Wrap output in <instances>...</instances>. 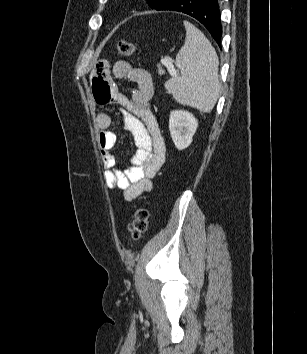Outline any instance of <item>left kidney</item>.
I'll return each mask as SVG.
<instances>
[{"instance_id": "5707ae66", "label": "left kidney", "mask_w": 307, "mask_h": 354, "mask_svg": "<svg viewBox=\"0 0 307 354\" xmlns=\"http://www.w3.org/2000/svg\"><path fill=\"white\" fill-rule=\"evenodd\" d=\"M198 121L192 113L185 110H174L170 113L169 130L178 150L187 148L197 130Z\"/></svg>"}]
</instances>
